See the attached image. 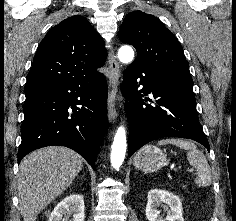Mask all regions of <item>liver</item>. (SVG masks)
Returning a JSON list of instances; mask_svg holds the SVG:
<instances>
[{"label": "liver", "mask_w": 236, "mask_h": 221, "mask_svg": "<svg viewBox=\"0 0 236 221\" xmlns=\"http://www.w3.org/2000/svg\"><path fill=\"white\" fill-rule=\"evenodd\" d=\"M82 166L78 153L61 146L44 147L25 157L17 184L23 220L36 221L38 214L70 186Z\"/></svg>", "instance_id": "obj_1"}]
</instances>
